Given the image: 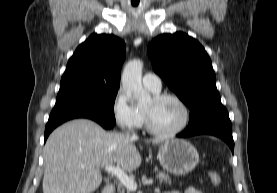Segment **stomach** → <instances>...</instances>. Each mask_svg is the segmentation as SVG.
<instances>
[{"instance_id":"1","label":"stomach","mask_w":277,"mask_h":193,"mask_svg":"<svg viewBox=\"0 0 277 193\" xmlns=\"http://www.w3.org/2000/svg\"><path fill=\"white\" fill-rule=\"evenodd\" d=\"M157 157L164 170L179 176L191 172L199 162L196 148L183 139L162 142Z\"/></svg>"}]
</instances>
